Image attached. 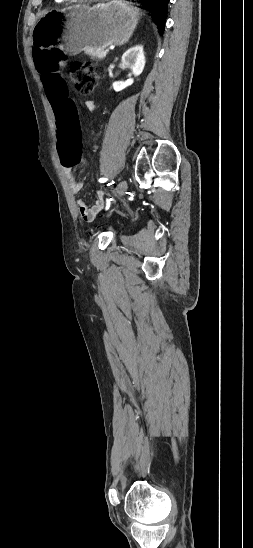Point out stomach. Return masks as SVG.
Returning a JSON list of instances; mask_svg holds the SVG:
<instances>
[{
	"label": "stomach",
	"mask_w": 253,
	"mask_h": 548,
	"mask_svg": "<svg viewBox=\"0 0 253 548\" xmlns=\"http://www.w3.org/2000/svg\"><path fill=\"white\" fill-rule=\"evenodd\" d=\"M140 18L137 8L121 0L93 7L73 5L41 18L33 32L35 43H59L67 54L87 47H106L128 42Z\"/></svg>",
	"instance_id": "obj_1"
}]
</instances>
